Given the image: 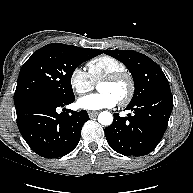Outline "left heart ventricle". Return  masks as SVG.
<instances>
[{"label": "left heart ventricle", "instance_id": "left-heart-ventricle-1", "mask_svg": "<svg viewBox=\"0 0 193 193\" xmlns=\"http://www.w3.org/2000/svg\"><path fill=\"white\" fill-rule=\"evenodd\" d=\"M99 92H107L112 94L117 101L122 99L128 92L127 81H120L117 83L100 82L98 85Z\"/></svg>", "mask_w": 193, "mask_h": 193}]
</instances>
